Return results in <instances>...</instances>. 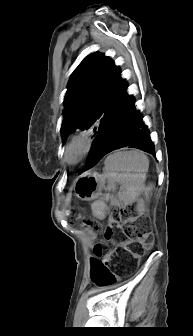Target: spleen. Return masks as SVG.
Listing matches in <instances>:
<instances>
[{"instance_id": "1", "label": "spleen", "mask_w": 193, "mask_h": 336, "mask_svg": "<svg viewBox=\"0 0 193 336\" xmlns=\"http://www.w3.org/2000/svg\"><path fill=\"white\" fill-rule=\"evenodd\" d=\"M148 167V157L140 150L115 151L107 156L103 176L108 180L106 189L113 194H106L91 205L93 215L98 219L105 218L106 201L113 206L134 203L144 189ZM117 184L121 189L114 195Z\"/></svg>"}]
</instances>
